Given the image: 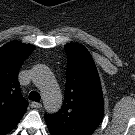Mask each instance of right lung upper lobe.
Wrapping results in <instances>:
<instances>
[{
    "mask_svg": "<svg viewBox=\"0 0 135 135\" xmlns=\"http://www.w3.org/2000/svg\"><path fill=\"white\" fill-rule=\"evenodd\" d=\"M34 47L13 41L0 48V135H6L18 124L27 110L22 97L18 71Z\"/></svg>",
    "mask_w": 135,
    "mask_h": 135,
    "instance_id": "right-lung-upper-lobe-1",
    "label": "right lung upper lobe"
}]
</instances>
